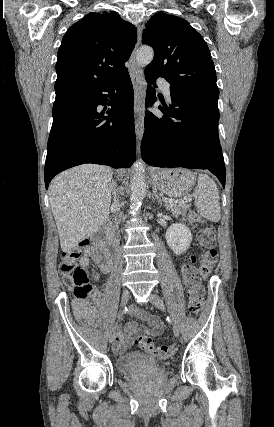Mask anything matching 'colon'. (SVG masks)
Listing matches in <instances>:
<instances>
[{
    "instance_id": "1",
    "label": "colon",
    "mask_w": 274,
    "mask_h": 427,
    "mask_svg": "<svg viewBox=\"0 0 274 427\" xmlns=\"http://www.w3.org/2000/svg\"><path fill=\"white\" fill-rule=\"evenodd\" d=\"M191 219L200 221L196 215L192 216ZM198 240L202 248H216L215 226L213 223L204 222L201 225ZM78 245L81 248H88L91 245V238L88 235H81L78 238ZM80 259L81 252L79 250L67 252L63 258L60 271L66 276L74 297L85 301L93 297V286L89 282L86 270L77 264ZM182 277L187 287L188 310L196 314L200 311L202 303L206 301V294L194 262L184 264ZM139 346L158 359H168L176 352L175 345H157L147 337L139 339Z\"/></svg>"
}]
</instances>
